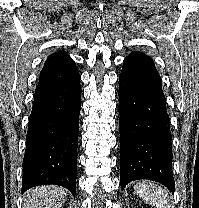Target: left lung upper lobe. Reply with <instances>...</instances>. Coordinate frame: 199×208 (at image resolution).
<instances>
[{
  "label": "left lung upper lobe",
  "instance_id": "obj_1",
  "mask_svg": "<svg viewBox=\"0 0 199 208\" xmlns=\"http://www.w3.org/2000/svg\"><path fill=\"white\" fill-rule=\"evenodd\" d=\"M130 55H134V56L141 57V58L144 59L145 61H147V62H149V63H151V64H154L153 60H152L149 56H146L144 53L135 51V52H132Z\"/></svg>",
  "mask_w": 199,
  "mask_h": 208
}]
</instances>
